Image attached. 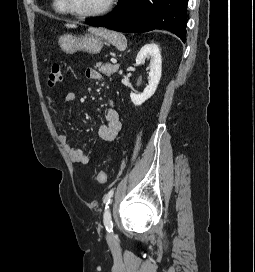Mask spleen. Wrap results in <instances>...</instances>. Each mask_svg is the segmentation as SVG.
<instances>
[{"instance_id": "obj_1", "label": "spleen", "mask_w": 255, "mask_h": 272, "mask_svg": "<svg viewBox=\"0 0 255 272\" xmlns=\"http://www.w3.org/2000/svg\"><path fill=\"white\" fill-rule=\"evenodd\" d=\"M91 32L103 37L109 43L116 46L119 50H125L127 47V40L122 33H118L116 31H111L107 29H89Z\"/></svg>"}]
</instances>
